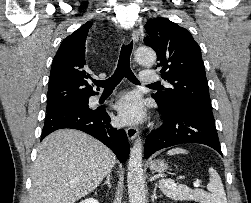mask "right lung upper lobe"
Returning <instances> with one entry per match:
<instances>
[{
    "mask_svg": "<svg viewBox=\"0 0 251 203\" xmlns=\"http://www.w3.org/2000/svg\"><path fill=\"white\" fill-rule=\"evenodd\" d=\"M92 23L87 22L61 43L52 63L47 93V110L54 111L97 94L90 86L85 43Z\"/></svg>",
    "mask_w": 251,
    "mask_h": 203,
    "instance_id": "right-lung-upper-lobe-1",
    "label": "right lung upper lobe"
}]
</instances>
